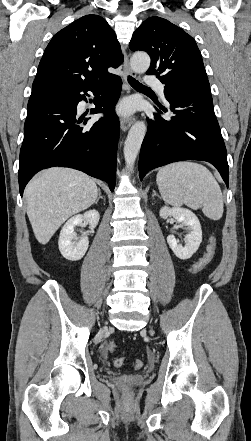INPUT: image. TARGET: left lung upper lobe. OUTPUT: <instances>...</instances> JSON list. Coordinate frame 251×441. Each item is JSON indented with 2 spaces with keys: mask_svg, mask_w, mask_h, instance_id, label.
<instances>
[{
  "mask_svg": "<svg viewBox=\"0 0 251 441\" xmlns=\"http://www.w3.org/2000/svg\"><path fill=\"white\" fill-rule=\"evenodd\" d=\"M129 47L150 55L151 64L146 73L157 75L165 85L166 97L198 92L211 95L195 40L168 20L157 16L146 19L134 32Z\"/></svg>",
  "mask_w": 251,
  "mask_h": 441,
  "instance_id": "1",
  "label": "left lung upper lobe"
}]
</instances>
